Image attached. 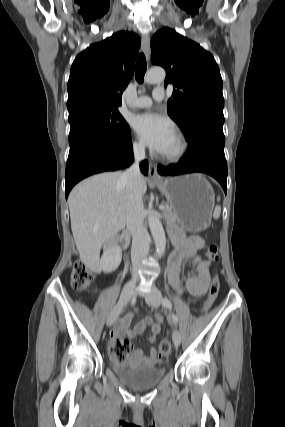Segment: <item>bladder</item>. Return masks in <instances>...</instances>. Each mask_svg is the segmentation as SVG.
Masks as SVG:
<instances>
[{
  "mask_svg": "<svg viewBox=\"0 0 285 427\" xmlns=\"http://www.w3.org/2000/svg\"><path fill=\"white\" fill-rule=\"evenodd\" d=\"M112 368L123 383L137 390L155 387L166 375L164 367H130L128 365L113 363Z\"/></svg>",
  "mask_w": 285,
  "mask_h": 427,
  "instance_id": "bladder-1",
  "label": "bladder"
}]
</instances>
